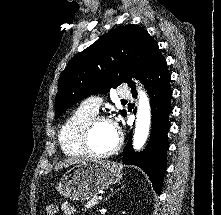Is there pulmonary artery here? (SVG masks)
Returning a JSON list of instances; mask_svg holds the SVG:
<instances>
[{
  "label": "pulmonary artery",
  "mask_w": 221,
  "mask_h": 215,
  "mask_svg": "<svg viewBox=\"0 0 221 215\" xmlns=\"http://www.w3.org/2000/svg\"><path fill=\"white\" fill-rule=\"evenodd\" d=\"M119 96L122 99H128L131 97V93L126 89H122L119 92ZM100 105H101V99L99 97H89L81 103L82 108H84L94 114H96L98 112Z\"/></svg>",
  "instance_id": "e3ab8cb5"
}]
</instances>
